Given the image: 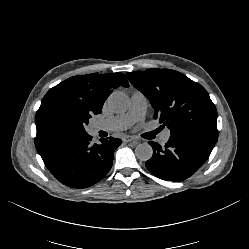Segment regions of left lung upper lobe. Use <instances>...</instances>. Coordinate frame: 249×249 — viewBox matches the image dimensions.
Instances as JSON below:
<instances>
[{
  "label": "left lung upper lobe",
  "instance_id": "left-lung-upper-lobe-1",
  "mask_svg": "<svg viewBox=\"0 0 249 249\" xmlns=\"http://www.w3.org/2000/svg\"><path fill=\"white\" fill-rule=\"evenodd\" d=\"M126 76L149 99L160 128L167 126L171 136L217 142V110L203 86L170 69L128 72Z\"/></svg>",
  "mask_w": 249,
  "mask_h": 249
}]
</instances>
